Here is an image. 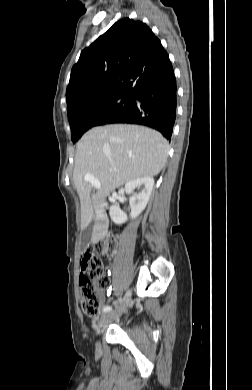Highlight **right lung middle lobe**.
Returning a JSON list of instances; mask_svg holds the SVG:
<instances>
[{"label": "right lung middle lobe", "mask_w": 252, "mask_h": 390, "mask_svg": "<svg viewBox=\"0 0 252 390\" xmlns=\"http://www.w3.org/2000/svg\"><path fill=\"white\" fill-rule=\"evenodd\" d=\"M134 95L118 94L79 105L68 112L71 140L76 143L91 127L106 124L110 119L127 110Z\"/></svg>", "instance_id": "dd1d6c3e"}]
</instances>
